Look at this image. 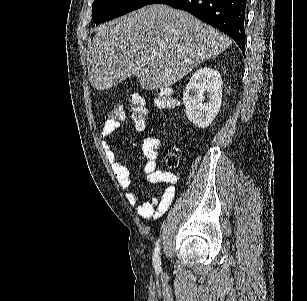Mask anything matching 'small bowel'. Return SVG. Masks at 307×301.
<instances>
[{"label": "small bowel", "instance_id": "1", "mask_svg": "<svg viewBox=\"0 0 307 301\" xmlns=\"http://www.w3.org/2000/svg\"><path fill=\"white\" fill-rule=\"evenodd\" d=\"M119 126V123L105 122L101 131L102 145L111 163L114 175L120 187L126 191L125 196L128 203L135 206L136 213L139 217L143 219L159 218L169 209L173 202L177 176L170 171L158 169V148L161 142L156 137H146L142 141L141 147L143 155L146 158L144 170L147 180L151 183H162L165 187L161 195L154 196L150 201L140 202V194L131 190V179L126 162L118 158L108 143Z\"/></svg>", "mask_w": 307, "mask_h": 301}]
</instances>
